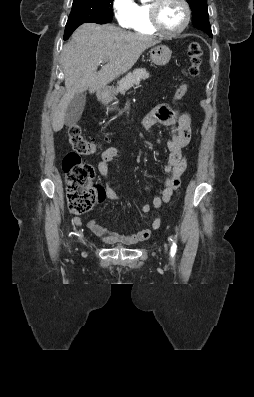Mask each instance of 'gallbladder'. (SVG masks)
I'll list each match as a JSON object with an SVG mask.
<instances>
[{"label": "gallbladder", "mask_w": 254, "mask_h": 397, "mask_svg": "<svg viewBox=\"0 0 254 397\" xmlns=\"http://www.w3.org/2000/svg\"><path fill=\"white\" fill-rule=\"evenodd\" d=\"M86 102V94L78 93L69 103L65 113V125L73 126L80 119Z\"/></svg>", "instance_id": "gallbladder-1"}]
</instances>
